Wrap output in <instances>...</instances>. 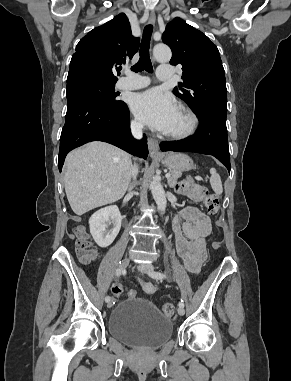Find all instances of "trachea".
Instances as JSON below:
<instances>
[{"instance_id": "trachea-1", "label": "trachea", "mask_w": 291, "mask_h": 381, "mask_svg": "<svg viewBox=\"0 0 291 381\" xmlns=\"http://www.w3.org/2000/svg\"><path fill=\"white\" fill-rule=\"evenodd\" d=\"M152 34V25H147L143 32V37L140 46L139 61L131 68L134 72H141L143 70L152 73L153 67L149 56L150 39Z\"/></svg>"}]
</instances>
